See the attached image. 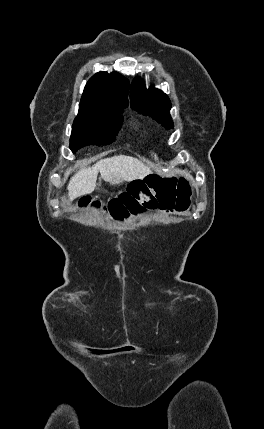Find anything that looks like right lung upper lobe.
<instances>
[{
    "label": "right lung upper lobe",
    "mask_w": 264,
    "mask_h": 429,
    "mask_svg": "<svg viewBox=\"0 0 264 429\" xmlns=\"http://www.w3.org/2000/svg\"><path fill=\"white\" fill-rule=\"evenodd\" d=\"M128 85L118 73H96L87 82L80 103L128 105Z\"/></svg>",
    "instance_id": "1"
}]
</instances>
